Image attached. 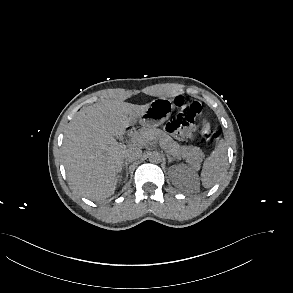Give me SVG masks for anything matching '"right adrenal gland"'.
Returning <instances> with one entry per match:
<instances>
[{"mask_svg": "<svg viewBox=\"0 0 293 293\" xmlns=\"http://www.w3.org/2000/svg\"><path fill=\"white\" fill-rule=\"evenodd\" d=\"M128 165H129V162H125L122 166V169H121V173L123 171V169H125L126 171V179L128 178Z\"/></svg>", "mask_w": 293, "mask_h": 293, "instance_id": "right-adrenal-gland-1", "label": "right adrenal gland"}]
</instances>
